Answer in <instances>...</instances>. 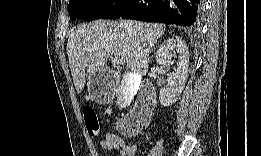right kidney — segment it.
Wrapping results in <instances>:
<instances>
[{
	"label": "right kidney",
	"instance_id": "1",
	"mask_svg": "<svg viewBox=\"0 0 261 156\" xmlns=\"http://www.w3.org/2000/svg\"><path fill=\"white\" fill-rule=\"evenodd\" d=\"M177 53L178 56L175 72L170 73L167 77L168 87H164L160 90L159 93V101L162 106H170L176 102L182 90L185 86V82L187 79L188 73V59H189V51L186 43L178 38H169L163 42L160 46L159 50L156 53V61L159 65L169 66L171 62L172 53ZM128 76H125L123 81L126 82ZM139 83L136 82L133 92L135 93L138 88ZM133 95V93L131 94ZM130 98V95H129Z\"/></svg>",
	"mask_w": 261,
	"mask_h": 156
}]
</instances>
